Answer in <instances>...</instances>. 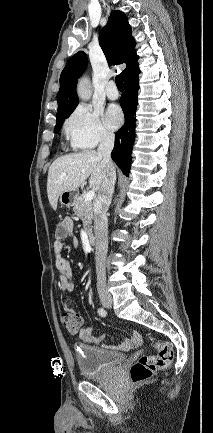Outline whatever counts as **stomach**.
I'll use <instances>...</instances> for the list:
<instances>
[{
    "label": "stomach",
    "instance_id": "obj_1",
    "mask_svg": "<svg viewBox=\"0 0 213 433\" xmlns=\"http://www.w3.org/2000/svg\"><path fill=\"white\" fill-rule=\"evenodd\" d=\"M76 199V194L73 191H66L60 195V202L64 206H71Z\"/></svg>",
    "mask_w": 213,
    "mask_h": 433
}]
</instances>
